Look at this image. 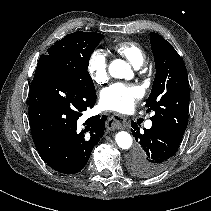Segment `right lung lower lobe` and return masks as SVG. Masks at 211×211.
<instances>
[{
    "label": "right lung lower lobe",
    "instance_id": "1",
    "mask_svg": "<svg viewBox=\"0 0 211 211\" xmlns=\"http://www.w3.org/2000/svg\"><path fill=\"white\" fill-rule=\"evenodd\" d=\"M95 103V92L50 65H37L29 90V122L35 147L48 166L65 174L85 167L105 130L104 115L82 125L79 120Z\"/></svg>",
    "mask_w": 211,
    "mask_h": 211
}]
</instances>
